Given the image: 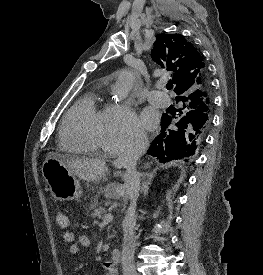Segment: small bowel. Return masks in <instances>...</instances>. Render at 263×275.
<instances>
[{"mask_svg":"<svg viewBox=\"0 0 263 275\" xmlns=\"http://www.w3.org/2000/svg\"><path fill=\"white\" fill-rule=\"evenodd\" d=\"M67 234L69 236V239H66L65 234H63L62 240L63 242L70 244L69 245L70 255H76L78 254L80 247H88L90 245V238L85 234L80 235L77 241H74V236L71 232H68ZM114 274H115V270L114 271L107 270L104 275H114Z\"/></svg>","mask_w":263,"mask_h":275,"instance_id":"small-bowel-1","label":"small bowel"}]
</instances>
